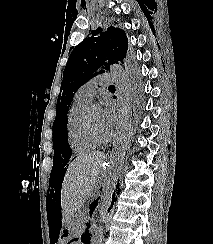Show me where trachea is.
Returning <instances> with one entry per match:
<instances>
[{
    "label": "trachea",
    "instance_id": "3493384b",
    "mask_svg": "<svg viewBox=\"0 0 213 244\" xmlns=\"http://www.w3.org/2000/svg\"><path fill=\"white\" fill-rule=\"evenodd\" d=\"M110 88H114L115 86L114 85H111V86H109Z\"/></svg>",
    "mask_w": 213,
    "mask_h": 244
}]
</instances>
